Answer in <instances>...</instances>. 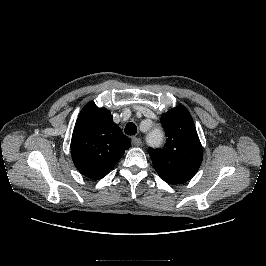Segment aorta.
<instances>
[{
	"mask_svg": "<svg viewBox=\"0 0 266 266\" xmlns=\"http://www.w3.org/2000/svg\"><path fill=\"white\" fill-rule=\"evenodd\" d=\"M147 142L151 146H158L163 142V134L161 130L154 128L147 136Z\"/></svg>",
	"mask_w": 266,
	"mask_h": 266,
	"instance_id": "762f6f07",
	"label": "aorta"
}]
</instances>
